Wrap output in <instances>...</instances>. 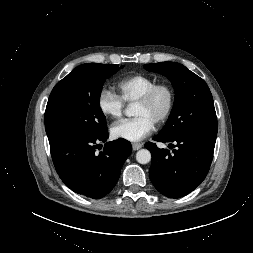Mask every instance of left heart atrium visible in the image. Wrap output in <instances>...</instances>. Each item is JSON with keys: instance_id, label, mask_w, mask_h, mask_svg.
<instances>
[{"instance_id": "left-heart-atrium-1", "label": "left heart atrium", "mask_w": 253, "mask_h": 253, "mask_svg": "<svg viewBox=\"0 0 253 253\" xmlns=\"http://www.w3.org/2000/svg\"><path fill=\"white\" fill-rule=\"evenodd\" d=\"M154 127L155 123L148 117L138 116L113 124L110 131L114 138L138 142L150 135Z\"/></svg>"}]
</instances>
